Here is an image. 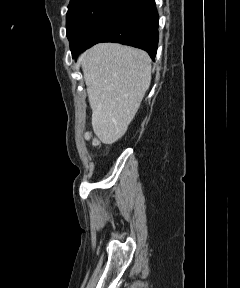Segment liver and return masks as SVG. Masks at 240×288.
<instances>
[{"mask_svg":"<svg viewBox=\"0 0 240 288\" xmlns=\"http://www.w3.org/2000/svg\"><path fill=\"white\" fill-rule=\"evenodd\" d=\"M92 127L104 144L126 132L151 83V59L140 49L100 43L80 56Z\"/></svg>","mask_w":240,"mask_h":288,"instance_id":"6515ba94","label":"liver"}]
</instances>
